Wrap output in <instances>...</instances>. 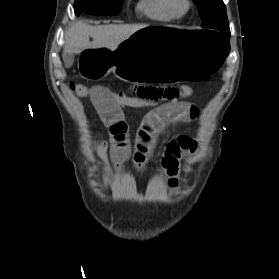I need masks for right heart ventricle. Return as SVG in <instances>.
Wrapping results in <instances>:
<instances>
[{
	"label": "right heart ventricle",
	"mask_w": 279,
	"mask_h": 279,
	"mask_svg": "<svg viewBox=\"0 0 279 279\" xmlns=\"http://www.w3.org/2000/svg\"><path fill=\"white\" fill-rule=\"evenodd\" d=\"M137 8L155 21L170 22L175 19L169 8V0H139Z\"/></svg>",
	"instance_id": "right-heart-ventricle-1"
}]
</instances>
